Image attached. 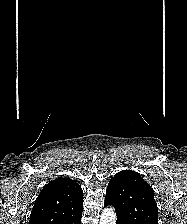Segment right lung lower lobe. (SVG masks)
<instances>
[{
  "label": "right lung lower lobe",
  "mask_w": 187,
  "mask_h": 224,
  "mask_svg": "<svg viewBox=\"0 0 187 224\" xmlns=\"http://www.w3.org/2000/svg\"><path fill=\"white\" fill-rule=\"evenodd\" d=\"M81 216H82V214L79 215L78 217L72 219V220L69 222V224H81Z\"/></svg>",
  "instance_id": "obj_1"
}]
</instances>
